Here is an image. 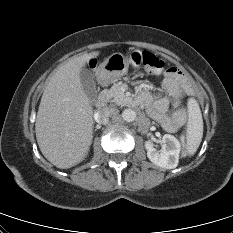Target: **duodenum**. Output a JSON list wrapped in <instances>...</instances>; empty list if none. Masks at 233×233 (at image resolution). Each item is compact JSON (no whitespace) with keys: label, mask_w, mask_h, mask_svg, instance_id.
Returning <instances> with one entry per match:
<instances>
[{"label":"duodenum","mask_w":233,"mask_h":233,"mask_svg":"<svg viewBox=\"0 0 233 233\" xmlns=\"http://www.w3.org/2000/svg\"><path fill=\"white\" fill-rule=\"evenodd\" d=\"M102 81L104 82L103 79H102ZM107 100H108L107 94L106 93H100L97 100H96V107L99 108V109L105 107L106 104H107Z\"/></svg>","instance_id":"1"}]
</instances>
